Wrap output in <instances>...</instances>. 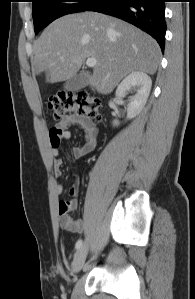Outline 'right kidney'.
I'll return each instance as SVG.
<instances>
[{"instance_id": "1", "label": "right kidney", "mask_w": 195, "mask_h": 299, "mask_svg": "<svg viewBox=\"0 0 195 299\" xmlns=\"http://www.w3.org/2000/svg\"><path fill=\"white\" fill-rule=\"evenodd\" d=\"M152 86L151 78L144 72L134 71L125 77L116 89V98L126 96L128 90L136 91L135 96L130 99L127 106V119L136 117L144 108ZM114 126L119 125L118 120L113 121Z\"/></svg>"}]
</instances>
